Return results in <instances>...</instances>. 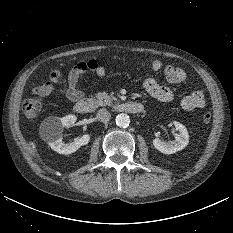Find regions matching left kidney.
<instances>
[{"instance_id": "obj_1", "label": "left kidney", "mask_w": 233, "mask_h": 233, "mask_svg": "<svg viewBox=\"0 0 233 233\" xmlns=\"http://www.w3.org/2000/svg\"><path fill=\"white\" fill-rule=\"evenodd\" d=\"M173 124L179 131V133L176 134L175 140L170 142H165L159 138L153 140L154 147L161 153L173 154L184 149L189 143V135L186 127L177 121H174Z\"/></svg>"}]
</instances>
